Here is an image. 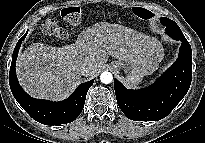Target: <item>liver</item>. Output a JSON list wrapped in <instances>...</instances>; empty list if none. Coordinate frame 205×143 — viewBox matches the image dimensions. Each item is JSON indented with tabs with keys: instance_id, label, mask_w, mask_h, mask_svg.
Returning <instances> with one entry per match:
<instances>
[{
	"instance_id": "6515ba94",
	"label": "liver",
	"mask_w": 205,
	"mask_h": 143,
	"mask_svg": "<svg viewBox=\"0 0 205 143\" xmlns=\"http://www.w3.org/2000/svg\"><path fill=\"white\" fill-rule=\"evenodd\" d=\"M157 47L161 45L154 37L120 24L99 22L83 30L75 44H31L18 55L16 73L29 95L62 100L80 81L84 64L95 67L92 76L103 68L109 56L128 63L149 62L154 70L159 61L153 56Z\"/></svg>"
}]
</instances>
